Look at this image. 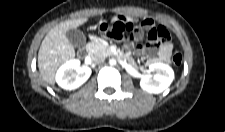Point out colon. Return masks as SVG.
I'll return each mask as SVG.
<instances>
[{"label":"colon","mask_w":225,"mask_h":132,"mask_svg":"<svg viewBox=\"0 0 225 132\" xmlns=\"http://www.w3.org/2000/svg\"><path fill=\"white\" fill-rule=\"evenodd\" d=\"M102 30L111 38L115 40H133L136 37V32L132 30L123 29L120 25L117 24H104ZM148 38L150 40H168L169 34L164 28H156L150 30L148 33ZM172 62L175 65H180L182 62V54L180 51L175 50L172 54Z\"/></svg>","instance_id":"colon-1"}]
</instances>
